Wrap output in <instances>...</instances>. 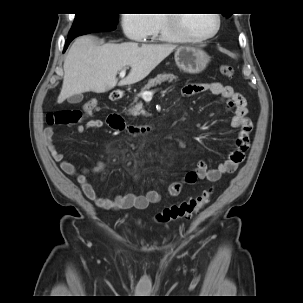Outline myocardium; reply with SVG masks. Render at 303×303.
<instances>
[{
	"mask_svg": "<svg viewBox=\"0 0 303 303\" xmlns=\"http://www.w3.org/2000/svg\"><path fill=\"white\" fill-rule=\"evenodd\" d=\"M184 15L185 14H166L167 26L169 30L172 31L178 37H180L183 41H205L214 37L220 29L221 17L219 14L215 13L212 14L215 19V27L212 31L200 36L192 35L188 33L183 27Z\"/></svg>",
	"mask_w": 303,
	"mask_h": 303,
	"instance_id": "1",
	"label": "myocardium"
}]
</instances>
